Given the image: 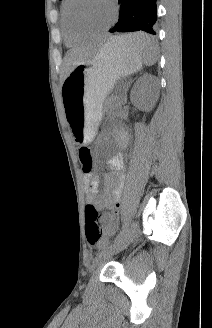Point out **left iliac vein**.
Returning a JSON list of instances; mask_svg holds the SVG:
<instances>
[{
	"label": "left iliac vein",
	"mask_w": 212,
	"mask_h": 328,
	"mask_svg": "<svg viewBox=\"0 0 212 328\" xmlns=\"http://www.w3.org/2000/svg\"><path fill=\"white\" fill-rule=\"evenodd\" d=\"M137 230H138V224L137 222H134L121 239L115 241L112 245H110L109 247L103 249L100 253H98L90 267V272H94L100 265L105 263L113 254H116L124 250L135 238Z\"/></svg>",
	"instance_id": "obj_1"
}]
</instances>
